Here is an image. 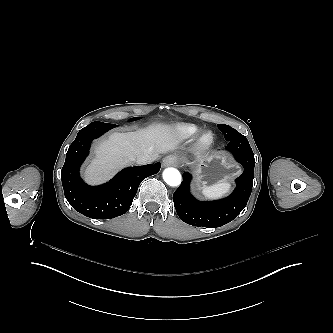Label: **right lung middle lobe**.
Listing matches in <instances>:
<instances>
[{"mask_svg": "<svg viewBox=\"0 0 333 333\" xmlns=\"http://www.w3.org/2000/svg\"><path fill=\"white\" fill-rule=\"evenodd\" d=\"M138 119H140V117L131 118V119H129V121H134V120H138Z\"/></svg>", "mask_w": 333, "mask_h": 333, "instance_id": "right-lung-middle-lobe-1", "label": "right lung middle lobe"}]
</instances>
